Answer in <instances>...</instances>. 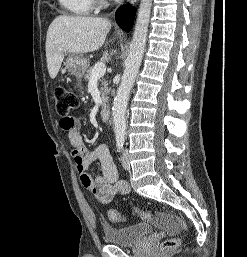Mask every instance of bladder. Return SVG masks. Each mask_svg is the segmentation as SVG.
<instances>
[{
    "mask_svg": "<svg viewBox=\"0 0 247 257\" xmlns=\"http://www.w3.org/2000/svg\"><path fill=\"white\" fill-rule=\"evenodd\" d=\"M152 233V227L148 224L140 223L128 227L115 228L106 226L104 237L110 244L118 246L134 245Z\"/></svg>",
    "mask_w": 247,
    "mask_h": 257,
    "instance_id": "1",
    "label": "bladder"
}]
</instances>
